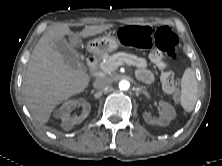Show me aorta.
Wrapping results in <instances>:
<instances>
[{"label": "aorta", "mask_w": 222, "mask_h": 166, "mask_svg": "<svg viewBox=\"0 0 222 166\" xmlns=\"http://www.w3.org/2000/svg\"><path fill=\"white\" fill-rule=\"evenodd\" d=\"M130 87V83L127 80H121L119 82V89L122 91L128 90Z\"/></svg>", "instance_id": "aorta-1"}]
</instances>
